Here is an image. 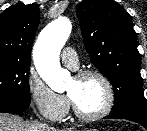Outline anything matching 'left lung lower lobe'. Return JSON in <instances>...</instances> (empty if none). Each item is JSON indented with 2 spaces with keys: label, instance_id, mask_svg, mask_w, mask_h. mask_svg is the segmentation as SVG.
Returning a JSON list of instances; mask_svg holds the SVG:
<instances>
[{
  "label": "left lung lower lobe",
  "instance_id": "1",
  "mask_svg": "<svg viewBox=\"0 0 147 131\" xmlns=\"http://www.w3.org/2000/svg\"><path fill=\"white\" fill-rule=\"evenodd\" d=\"M104 119H126L134 121L147 129V114L138 112H121L116 114H109Z\"/></svg>",
  "mask_w": 147,
  "mask_h": 131
}]
</instances>
